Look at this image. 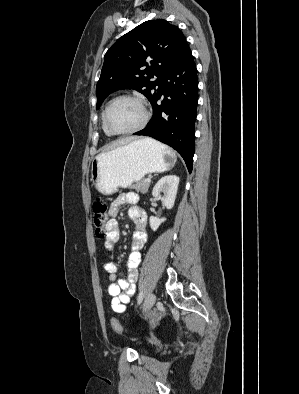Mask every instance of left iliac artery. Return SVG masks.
Here are the masks:
<instances>
[{
    "instance_id": "left-iliac-artery-1",
    "label": "left iliac artery",
    "mask_w": 299,
    "mask_h": 394,
    "mask_svg": "<svg viewBox=\"0 0 299 394\" xmlns=\"http://www.w3.org/2000/svg\"><path fill=\"white\" fill-rule=\"evenodd\" d=\"M143 297H144V293H143V291H142V292H140V294H139V296H138V304H140V303L142 302Z\"/></svg>"
}]
</instances>
